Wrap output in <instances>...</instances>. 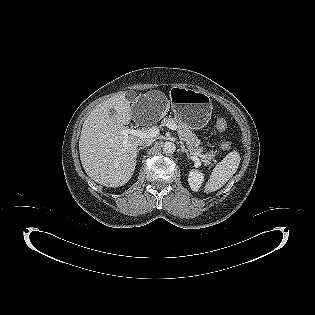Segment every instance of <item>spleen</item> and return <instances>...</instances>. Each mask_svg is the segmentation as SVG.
Wrapping results in <instances>:
<instances>
[{
  "label": "spleen",
  "instance_id": "3e777b00",
  "mask_svg": "<svg viewBox=\"0 0 315 315\" xmlns=\"http://www.w3.org/2000/svg\"><path fill=\"white\" fill-rule=\"evenodd\" d=\"M240 154L238 151H231L213 169L208 182L204 187L206 193L214 192L226 184V182L236 173L240 164Z\"/></svg>",
  "mask_w": 315,
  "mask_h": 315
}]
</instances>
